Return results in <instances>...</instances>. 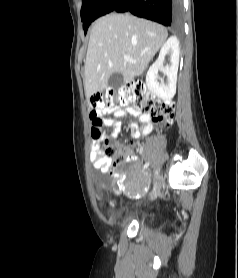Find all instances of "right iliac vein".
<instances>
[{
  "mask_svg": "<svg viewBox=\"0 0 238 278\" xmlns=\"http://www.w3.org/2000/svg\"><path fill=\"white\" fill-rule=\"evenodd\" d=\"M154 174H161L160 168H155ZM153 180H157L158 175H152Z\"/></svg>",
  "mask_w": 238,
  "mask_h": 278,
  "instance_id": "obj_1",
  "label": "right iliac vein"
}]
</instances>
